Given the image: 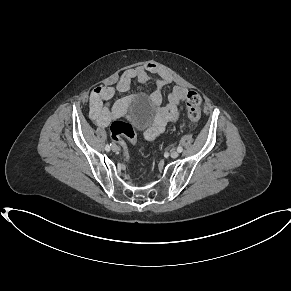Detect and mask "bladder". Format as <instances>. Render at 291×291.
I'll return each mask as SVG.
<instances>
[{
  "instance_id": "bladder-1",
  "label": "bladder",
  "mask_w": 291,
  "mask_h": 291,
  "mask_svg": "<svg viewBox=\"0 0 291 291\" xmlns=\"http://www.w3.org/2000/svg\"><path fill=\"white\" fill-rule=\"evenodd\" d=\"M144 101H146L147 99L146 98H142ZM130 122L133 124V125H135V126H137V127H139V128H141V129H145V127L147 126V123L146 122H142L141 121V119L136 115V114H132L131 116H130Z\"/></svg>"
}]
</instances>
